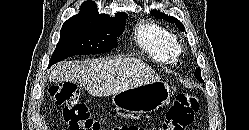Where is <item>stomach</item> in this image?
Returning a JSON list of instances; mask_svg holds the SVG:
<instances>
[{
	"label": "stomach",
	"instance_id": "stomach-1",
	"mask_svg": "<svg viewBox=\"0 0 249 130\" xmlns=\"http://www.w3.org/2000/svg\"><path fill=\"white\" fill-rule=\"evenodd\" d=\"M171 97V87L158 80L114 94L112 102L124 112L147 114L169 104Z\"/></svg>",
	"mask_w": 249,
	"mask_h": 130
}]
</instances>
